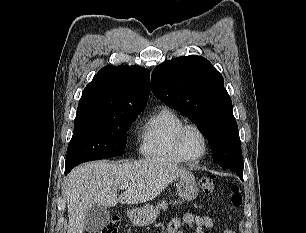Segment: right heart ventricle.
Masks as SVG:
<instances>
[{
	"label": "right heart ventricle",
	"instance_id": "right-heart-ventricle-1",
	"mask_svg": "<svg viewBox=\"0 0 306 233\" xmlns=\"http://www.w3.org/2000/svg\"><path fill=\"white\" fill-rule=\"evenodd\" d=\"M184 124L183 119L172 109L161 107L150 115L141 129V153L150 159L181 163L175 149V136Z\"/></svg>",
	"mask_w": 306,
	"mask_h": 233
}]
</instances>
